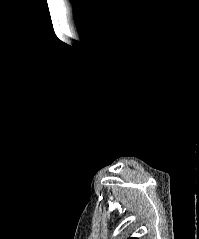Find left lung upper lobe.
<instances>
[{"label": "left lung upper lobe", "instance_id": "5c2ea615", "mask_svg": "<svg viewBox=\"0 0 199 239\" xmlns=\"http://www.w3.org/2000/svg\"><path fill=\"white\" fill-rule=\"evenodd\" d=\"M129 239H138V238H136V237H132V238H129Z\"/></svg>", "mask_w": 199, "mask_h": 239}]
</instances>
